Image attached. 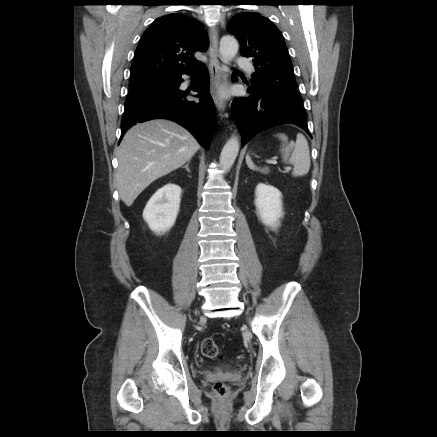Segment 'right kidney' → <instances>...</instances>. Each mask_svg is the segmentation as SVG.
Masks as SVG:
<instances>
[{"label":"right kidney","instance_id":"obj_1","mask_svg":"<svg viewBox=\"0 0 437 437\" xmlns=\"http://www.w3.org/2000/svg\"><path fill=\"white\" fill-rule=\"evenodd\" d=\"M180 186L172 183L158 189L143 211V218L156 234L169 231L175 224L181 201Z\"/></svg>","mask_w":437,"mask_h":437}]
</instances>
